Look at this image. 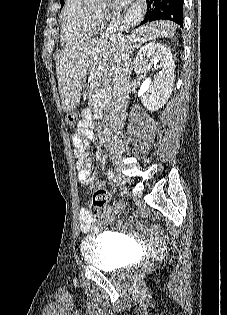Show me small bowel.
Returning <instances> with one entry per match:
<instances>
[{
  "instance_id": "1",
  "label": "small bowel",
  "mask_w": 227,
  "mask_h": 315,
  "mask_svg": "<svg viewBox=\"0 0 227 315\" xmlns=\"http://www.w3.org/2000/svg\"><path fill=\"white\" fill-rule=\"evenodd\" d=\"M92 139V132L90 130V115L88 112L83 113V120L76 131L72 134V145L74 156L76 159V167L79 171L78 178L84 185H88L91 180V170L89 166V158L87 155V148L89 141ZM125 208L123 201H116L113 208L108 215V222L117 219L119 212ZM80 228L85 233L97 234L101 231L103 222L97 220L92 212V209L86 205L81 208L79 212ZM140 230L147 234L154 236L157 235L160 230L158 228H148L143 222L138 224ZM158 247H163L162 241H157Z\"/></svg>"
}]
</instances>
